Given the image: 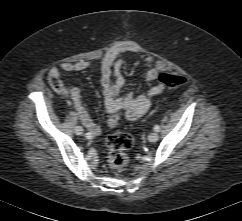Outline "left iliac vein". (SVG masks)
Here are the masks:
<instances>
[{"label":"left iliac vein","instance_id":"obj_1","mask_svg":"<svg viewBox=\"0 0 242 221\" xmlns=\"http://www.w3.org/2000/svg\"><path fill=\"white\" fill-rule=\"evenodd\" d=\"M158 138H159V135H158V133H156V132H152V133H150V134L148 135V140H149L150 142H156V141L158 140Z\"/></svg>","mask_w":242,"mask_h":221}]
</instances>
